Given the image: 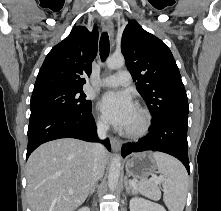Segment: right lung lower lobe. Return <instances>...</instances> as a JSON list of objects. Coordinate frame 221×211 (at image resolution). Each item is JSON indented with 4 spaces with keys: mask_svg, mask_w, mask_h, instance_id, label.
<instances>
[{
    "mask_svg": "<svg viewBox=\"0 0 221 211\" xmlns=\"http://www.w3.org/2000/svg\"><path fill=\"white\" fill-rule=\"evenodd\" d=\"M59 138L100 142L91 107L81 113L51 111L30 117L26 159L39 145ZM103 143L108 150L111 149L108 139Z\"/></svg>",
    "mask_w": 221,
    "mask_h": 211,
    "instance_id": "right-lung-lower-lobe-1",
    "label": "right lung lower lobe"
}]
</instances>
